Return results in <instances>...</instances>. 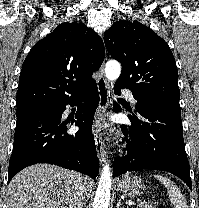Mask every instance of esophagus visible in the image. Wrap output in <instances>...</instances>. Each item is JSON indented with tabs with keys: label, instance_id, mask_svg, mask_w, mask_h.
<instances>
[{
	"label": "esophagus",
	"instance_id": "1",
	"mask_svg": "<svg viewBox=\"0 0 199 208\" xmlns=\"http://www.w3.org/2000/svg\"><path fill=\"white\" fill-rule=\"evenodd\" d=\"M96 82H97L100 101L96 111L93 134H94L95 146H96V151L98 154L99 161L100 163H103L106 159V152L104 150L102 135L100 133V125H101L103 113L106 111L109 104V84L104 75V63L99 69V77Z\"/></svg>",
	"mask_w": 199,
	"mask_h": 208
}]
</instances>
